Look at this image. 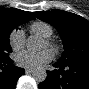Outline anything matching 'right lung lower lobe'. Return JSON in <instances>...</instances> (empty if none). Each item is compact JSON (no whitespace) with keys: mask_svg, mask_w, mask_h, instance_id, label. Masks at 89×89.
<instances>
[{"mask_svg":"<svg viewBox=\"0 0 89 89\" xmlns=\"http://www.w3.org/2000/svg\"><path fill=\"white\" fill-rule=\"evenodd\" d=\"M1 72H0V87L1 89H14L18 78L25 74L23 68L16 67L13 61L8 57L4 60H0Z\"/></svg>","mask_w":89,"mask_h":89,"instance_id":"98d812e1","label":"right lung lower lobe"}]
</instances>
